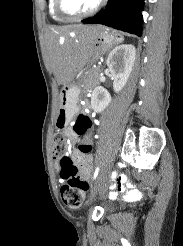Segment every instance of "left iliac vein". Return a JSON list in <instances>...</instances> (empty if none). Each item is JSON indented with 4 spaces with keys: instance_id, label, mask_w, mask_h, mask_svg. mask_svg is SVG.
Returning <instances> with one entry per match:
<instances>
[{
    "instance_id": "obj_1",
    "label": "left iliac vein",
    "mask_w": 183,
    "mask_h": 246,
    "mask_svg": "<svg viewBox=\"0 0 183 246\" xmlns=\"http://www.w3.org/2000/svg\"><path fill=\"white\" fill-rule=\"evenodd\" d=\"M110 167H111V163L108 164L106 171H108V170L110 169ZM100 181H102V178L100 179ZM100 187H101V183H98V184L92 189V191H91V196H90V200H92V199L96 196V194L98 193Z\"/></svg>"
}]
</instances>
